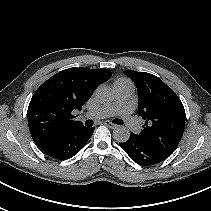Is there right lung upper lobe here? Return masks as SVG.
<instances>
[{
  "label": "right lung upper lobe",
  "instance_id": "right-lung-upper-lobe-1",
  "mask_svg": "<svg viewBox=\"0 0 211 211\" xmlns=\"http://www.w3.org/2000/svg\"><path fill=\"white\" fill-rule=\"evenodd\" d=\"M111 77L109 69L69 68L45 81L34 93L27 116L30 134L39 147L61 134L84 127L73 113Z\"/></svg>",
  "mask_w": 211,
  "mask_h": 211
}]
</instances>
